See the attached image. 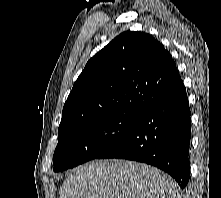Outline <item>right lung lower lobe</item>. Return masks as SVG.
Listing matches in <instances>:
<instances>
[{
    "mask_svg": "<svg viewBox=\"0 0 221 198\" xmlns=\"http://www.w3.org/2000/svg\"><path fill=\"white\" fill-rule=\"evenodd\" d=\"M190 115L182 82L146 109L133 129L96 159H128L156 166L184 189L190 178Z\"/></svg>",
    "mask_w": 221,
    "mask_h": 198,
    "instance_id": "1",
    "label": "right lung lower lobe"
}]
</instances>
